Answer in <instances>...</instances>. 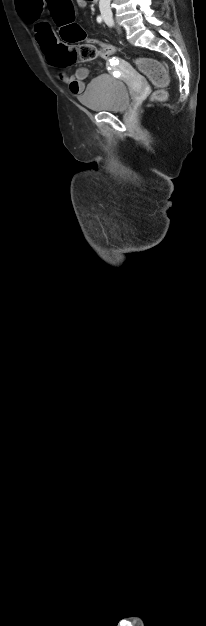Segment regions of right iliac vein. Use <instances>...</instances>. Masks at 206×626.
I'll return each instance as SVG.
<instances>
[{
  "instance_id": "1",
  "label": "right iliac vein",
  "mask_w": 206,
  "mask_h": 626,
  "mask_svg": "<svg viewBox=\"0 0 206 626\" xmlns=\"http://www.w3.org/2000/svg\"><path fill=\"white\" fill-rule=\"evenodd\" d=\"M106 21H107V22H110V23H112V24L114 23V20H113L112 18H106Z\"/></svg>"
}]
</instances>
